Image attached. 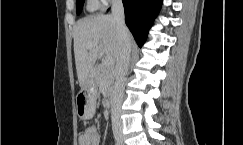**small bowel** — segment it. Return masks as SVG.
Wrapping results in <instances>:
<instances>
[{
    "instance_id": "1",
    "label": "small bowel",
    "mask_w": 243,
    "mask_h": 145,
    "mask_svg": "<svg viewBox=\"0 0 243 145\" xmlns=\"http://www.w3.org/2000/svg\"><path fill=\"white\" fill-rule=\"evenodd\" d=\"M79 145H99L100 135L98 131L93 128H87L78 138Z\"/></svg>"
}]
</instances>
